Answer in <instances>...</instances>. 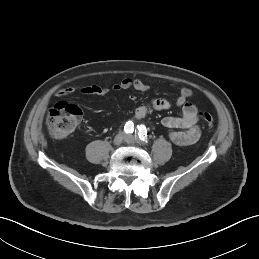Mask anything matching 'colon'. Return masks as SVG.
Wrapping results in <instances>:
<instances>
[{
    "label": "colon",
    "instance_id": "colon-1",
    "mask_svg": "<svg viewBox=\"0 0 259 259\" xmlns=\"http://www.w3.org/2000/svg\"><path fill=\"white\" fill-rule=\"evenodd\" d=\"M82 111L73 103L62 102L52 108L47 116V127L49 134L56 139H65L78 124ZM203 123L207 130L215 128L214 118L205 111H201Z\"/></svg>",
    "mask_w": 259,
    "mask_h": 259
}]
</instances>
